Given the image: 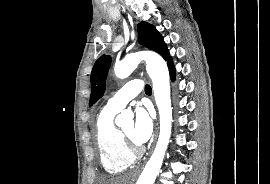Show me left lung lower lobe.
<instances>
[{"label":"left lung lower lobe","mask_w":270,"mask_h":184,"mask_svg":"<svg viewBox=\"0 0 270 184\" xmlns=\"http://www.w3.org/2000/svg\"><path fill=\"white\" fill-rule=\"evenodd\" d=\"M167 63H168V68H169L171 80L174 81L175 80V76H176V70H175V66L173 64V60H172L171 57H169L167 59Z\"/></svg>","instance_id":"left-lung-lower-lobe-1"}]
</instances>
